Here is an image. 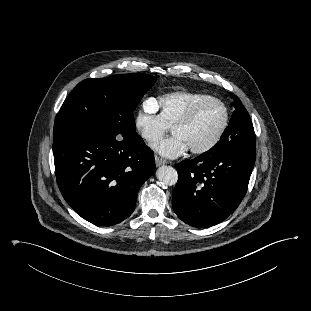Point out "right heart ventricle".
Returning <instances> with one entry per match:
<instances>
[{"label": "right heart ventricle", "instance_id": "e07e8e85", "mask_svg": "<svg viewBox=\"0 0 311 311\" xmlns=\"http://www.w3.org/2000/svg\"><path fill=\"white\" fill-rule=\"evenodd\" d=\"M206 97L203 93L176 91L161 96L155 103L161 119L171 127L193 104Z\"/></svg>", "mask_w": 311, "mask_h": 311}]
</instances>
